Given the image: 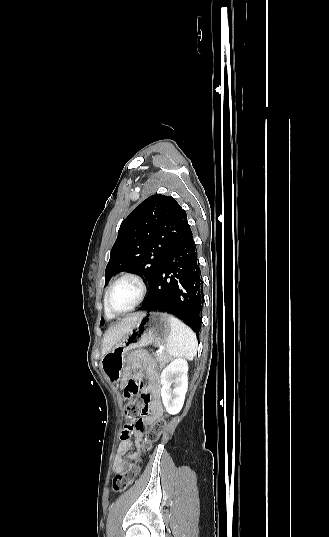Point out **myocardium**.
Returning <instances> with one entry per match:
<instances>
[{
	"label": "myocardium",
	"instance_id": "f54148a6",
	"mask_svg": "<svg viewBox=\"0 0 329 537\" xmlns=\"http://www.w3.org/2000/svg\"><path fill=\"white\" fill-rule=\"evenodd\" d=\"M126 279H130V280H133L135 281L139 288H140V295H139V298L137 299V301L132 305V307H130L129 309L125 310V311H122V312H117L115 311L112 307H111V304H110V296H111V293L113 291V289L123 280H126ZM146 293H147V285H146V282L145 280L143 279L142 276H140L139 274L137 273H134V272H127V273H124L122 275H120L108 288V290L106 291V294H105V305H106V308L107 310L112 314V315H124L126 313H129L131 311H133L136 307H138L142 301L144 300L145 296H146Z\"/></svg>",
	"mask_w": 329,
	"mask_h": 537
}]
</instances>
